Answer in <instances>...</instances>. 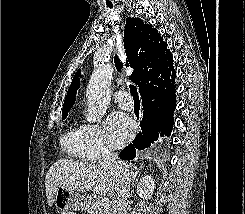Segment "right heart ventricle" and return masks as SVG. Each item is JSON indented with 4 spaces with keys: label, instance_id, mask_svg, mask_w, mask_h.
<instances>
[{
    "label": "right heart ventricle",
    "instance_id": "obj_1",
    "mask_svg": "<svg viewBox=\"0 0 245 214\" xmlns=\"http://www.w3.org/2000/svg\"><path fill=\"white\" fill-rule=\"evenodd\" d=\"M81 127V126H80ZM80 127L71 125L62 135L60 144L63 151L74 159H83V145Z\"/></svg>",
    "mask_w": 245,
    "mask_h": 214
}]
</instances>
